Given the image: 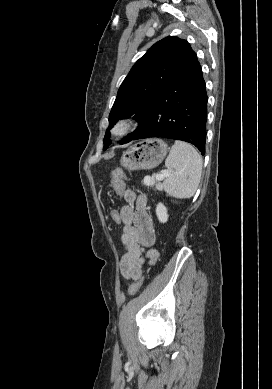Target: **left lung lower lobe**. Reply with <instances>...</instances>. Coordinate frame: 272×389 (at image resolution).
<instances>
[{
    "mask_svg": "<svg viewBox=\"0 0 272 389\" xmlns=\"http://www.w3.org/2000/svg\"><path fill=\"white\" fill-rule=\"evenodd\" d=\"M207 93L195 57L157 96L131 140L163 137L189 142L204 155Z\"/></svg>",
    "mask_w": 272,
    "mask_h": 389,
    "instance_id": "0a47b994",
    "label": "left lung lower lobe"
}]
</instances>
